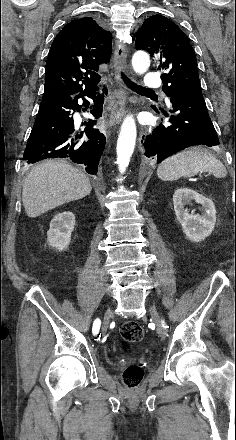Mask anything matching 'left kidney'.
I'll return each instance as SVG.
<instances>
[{"label":"left kidney","instance_id":"5707ae66","mask_svg":"<svg viewBox=\"0 0 236 440\" xmlns=\"http://www.w3.org/2000/svg\"><path fill=\"white\" fill-rule=\"evenodd\" d=\"M191 200L202 205V214L189 212L185 206ZM174 211L187 238L200 242L208 237L216 223V209L212 200L189 188H179L173 195Z\"/></svg>","mask_w":236,"mask_h":440}]
</instances>
